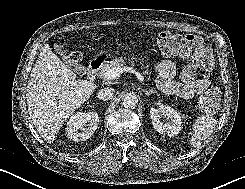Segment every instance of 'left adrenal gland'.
Instances as JSON below:
<instances>
[{
    "label": "left adrenal gland",
    "mask_w": 245,
    "mask_h": 189,
    "mask_svg": "<svg viewBox=\"0 0 245 189\" xmlns=\"http://www.w3.org/2000/svg\"><path fill=\"white\" fill-rule=\"evenodd\" d=\"M143 92H144V94L145 95H147V96H150L151 94H157V96H159V94L157 93V91H155V90H152V89H150L149 91H147V90H143Z\"/></svg>",
    "instance_id": "left-adrenal-gland-1"
}]
</instances>
